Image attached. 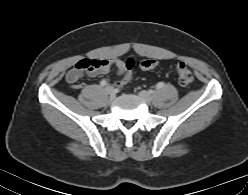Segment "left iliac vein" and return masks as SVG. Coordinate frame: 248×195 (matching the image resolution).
<instances>
[{"instance_id": "obj_1", "label": "left iliac vein", "mask_w": 248, "mask_h": 195, "mask_svg": "<svg viewBox=\"0 0 248 195\" xmlns=\"http://www.w3.org/2000/svg\"><path fill=\"white\" fill-rule=\"evenodd\" d=\"M139 96H140L145 102H147V103L152 102V95H151V93L148 92V91H145V90L140 91V92H139Z\"/></svg>"}]
</instances>
